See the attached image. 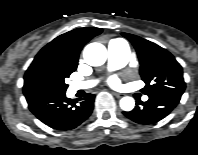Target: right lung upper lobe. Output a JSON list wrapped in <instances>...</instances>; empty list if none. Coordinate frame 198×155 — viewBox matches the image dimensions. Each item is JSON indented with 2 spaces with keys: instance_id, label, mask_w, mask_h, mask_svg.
I'll list each match as a JSON object with an SVG mask.
<instances>
[{
  "instance_id": "obj_1",
  "label": "right lung upper lobe",
  "mask_w": 198,
  "mask_h": 155,
  "mask_svg": "<svg viewBox=\"0 0 198 155\" xmlns=\"http://www.w3.org/2000/svg\"><path fill=\"white\" fill-rule=\"evenodd\" d=\"M101 32V28L85 27L62 34L40 50L30 67L43 61H60L77 67L82 47ZM24 95L28 96L29 94L24 93Z\"/></svg>"
}]
</instances>
